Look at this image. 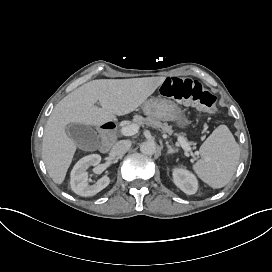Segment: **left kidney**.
<instances>
[{"instance_id":"obj_1","label":"left kidney","mask_w":272,"mask_h":272,"mask_svg":"<svg viewBox=\"0 0 272 272\" xmlns=\"http://www.w3.org/2000/svg\"><path fill=\"white\" fill-rule=\"evenodd\" d=\"M175 184L186 194H194L197 188V181L195 177L188 171L177 169L174 171Z\"/></svg>"}]
</instances>
